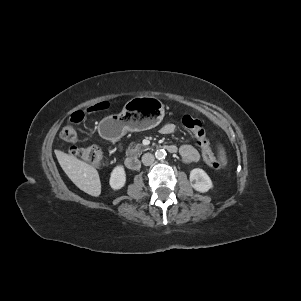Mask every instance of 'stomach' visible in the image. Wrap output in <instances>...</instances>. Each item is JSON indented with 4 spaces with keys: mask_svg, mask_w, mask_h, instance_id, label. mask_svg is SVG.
Listing matches in <instances>:
<instances>
[{
    "mask_svg": "<svg viewBox=\"0 0 301 301\" xmlns=\"http://www.w3.org/2000/svg\"><path fill=\"white\" fill-rule=\"evenodd\" d=\"M162 103L155 97L142 96L129 100L118 115L100 122L104 137L111 141L120 139L128 131H144L157 126L163 119Z\"/></svg>",
    "mask_w": 301,
    "mask_h": 301,
    "instance_id": "1",
    "label": "stomach"
}]
</instances>
